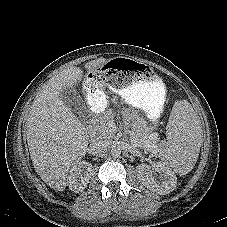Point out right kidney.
<instances>
[{
  "label": "right kidney",
  "instance_id": "1",
  "mask_svg": "<svg viewBox=\"0 0 227 227\" xmlns=\"http://www.w3.org/2000/svg\"><path fill=\"white\" fill-rule=\"evenodd\" d=\"M92 165L86 161H80L74 165L69 173L67 183L69 189L75 193L82 192L89 183Z\"/></svg>",
  "mask_w": 227,
  "mask_h": 227
}]
</instances>
